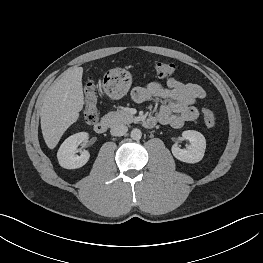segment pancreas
I'll return each mask as SVG.
<instances>
[{
  "mask_svg": "<svg viewBox=\"0 0 263 263\" xmlns=\"http://www.w3.org/2000/svg\"><path fill=\"white\" fill-rule=\"evenodd\" d=\"M112 125L129 124L136 121V118L126 109L120 108L117 111L109 112L105 115Z\"/></svg>",
  "mask_w": 263,
  "mask_h": 263,
  "instance_id": "cf45deb5",
  "label": "pancreas"
}]
</instances>
